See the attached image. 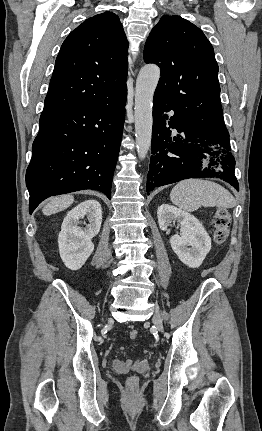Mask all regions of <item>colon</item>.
<instances>
[{
  "label": "colon",
  "instance_id": "obj_1",
  "mask_svg": "<svg viewBox=\"0 0 262 431\" xmlns=\"http://www.w3.org/2000/svg\"><path fill=\"white\" fill-rule=\"evenodd\" d=\"M213 237L214 241L218 245H223L229 234V229L231 225V217L228 210L223 208H218L215 212L213 221ZM139 332L137 329H131L129 335L132 339L137 338ZM138 382L136 376H132L128 380V384L131 386H135Z\"/></svg>",
  "mask_w": 262,
  "mask_h": 431
}]
</instances>
